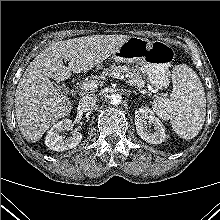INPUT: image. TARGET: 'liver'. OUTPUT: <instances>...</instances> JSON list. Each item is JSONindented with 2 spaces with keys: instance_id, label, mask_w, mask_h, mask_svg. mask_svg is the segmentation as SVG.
<instances>
[{
  "instance_id": "obj_1",
  "label": "liver",
  "mask_w": 220,
  "mask_h": 220,
  "mask_svg": "<svg viewBox=\"0 0 220 220\" xmlns=\"http://www.w3.org/2000/svg\"><path fill=\"white\" fill-rule=\"evenodd\" d=\"M127 35H93L58 41L38 54L25 70L15 92L16 120L26 141L35 143L59 119L70 114V99L57 83L72 73L88 72L112 56ZM63 61H68V66Z\"/></svg>"
}]
</instances>
